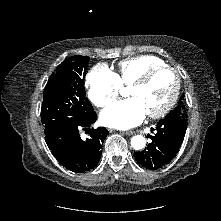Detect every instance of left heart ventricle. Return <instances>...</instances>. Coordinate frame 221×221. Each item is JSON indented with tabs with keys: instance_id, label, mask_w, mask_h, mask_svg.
<instances>
[{
	"instance_id": "1",
	"label": "left heart ventricle",
	"mask_w": 221,
	"mask_h": 221,
	"mask_svg": "<svg viewBox=\"0 0 221 221\" xmlns=\"http://www.w3.org/2000/svg\"><path fill=\"white\" fill-rule=\"evenodd\" d=\"M175 86L172 72L165 70L156 74L142 87H131L129 95L138 98L147 113L161 109L170 99Z\"/></svg>"
}]
</instances>
